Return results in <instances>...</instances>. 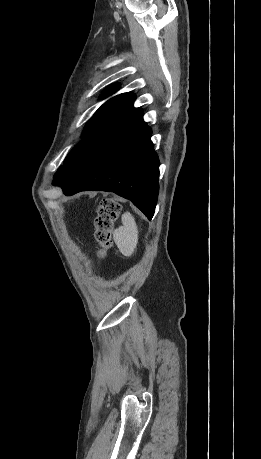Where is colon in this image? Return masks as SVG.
Segmentation results:
<instances>
[{"instance_id": "colon-1", "label": "colon", "mask_w": 261, "mask_h": 459, "mask_svg": "<svg viewBox=\"0 0 261 459\" xmlns=\"http://www.w3.org/2000/svg\"><path fill=\"white\" fill-rule=\"evenodd\" d=\"M120 204L112 197L104 198L95 219V239L98 244L97 256L103 259L111 246V235L119 218Z\"/></svg>"}]
</instances>
